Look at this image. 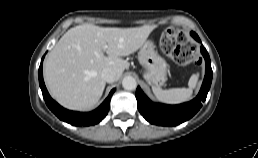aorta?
Returning <instances> with one entry per match:
<instances>
[{"mask_svg":"<svg viewBox=\"0 0 258 158\" xmlns=\"http://www.w3.org/2000/svg\"><path fill=\"white\" fill-rule=\"evenodd\" d=\"M122 86L126 90H134L137 87V82L135 78L128 76L123 79Z\"/></svg>","mask_w":258,"mask_h":158,"instance_id":"obj_1","label":"aorta"}]
</instances>
